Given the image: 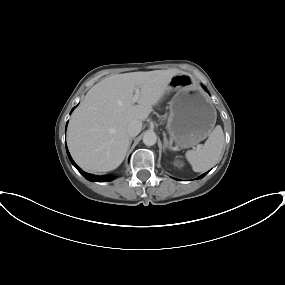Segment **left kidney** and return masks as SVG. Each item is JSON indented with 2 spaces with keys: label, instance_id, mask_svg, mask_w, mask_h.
Masks as SVG:
<instances>
[{
  "label": "left kidney",
  "instance_id": "left-kidney-1",
  "mask_svg": "<svg viewBox=\"0 0 285 285\" xmlns=\"http://www.w3.org/2000/svg\"><path fill=\"white\" fill-rule=\"evenodd\" d=\"M176 164H177V165H179V164H180L179 166H182V164H181L180 162H178V161L176 162Z\"/></svg>",
  "mask_w": 285,
  "mask_h": 285
}]
</instances>
